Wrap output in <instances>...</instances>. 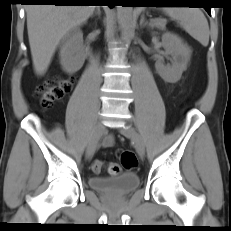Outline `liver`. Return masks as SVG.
I'll return each instance as SVG.
<instances>
[{"mask_svg": "<svg viewBox=\"0 0 231 231\" xmlns=\"http://www.w3.org/2000/svg\"><path fill=\"white\" fill-rule=\"evenodd\" d=\"M97 6L29 5L27 30L34 70L42 75L48 69L60 41L75 27L85 23Z\"/></svg>", "mask_w": 231, "mask_h": 231, "instance_id": "1", "label": "liver"}]
</instances>
